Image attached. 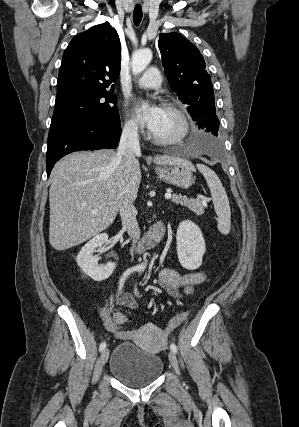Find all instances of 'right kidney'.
<instances>
[{"label":"right kidney","instance_id":"obj_1","mask_svg":"<svg viewBox=\"0 0 299 427\" xmlns=\"http://www.w3.org/2000/svg\"><path fill=\"white\" fill-rule=\"evenodd\" d=\"M108 242L106 233L99 234L87 242L79 254L76 261L82 271L94 281H103L111 276L115 269V263L108 262L106 265H99V257L94 255L95 249Z\"/></svg>","mask_w":299,"mask_h":427}]
</instances>
